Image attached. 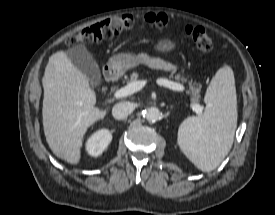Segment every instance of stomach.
I'll return each instance as SVG.
<instances>
[{
	"instance_id": "0dacf381",
	"label": "stomach",
	"mask_w": 275,
	"mask_h": 215,
	"mask_svg": "<svg viewBox=\"0 0 275 215\" xmlns=\"http://www.w3.org/2000/svg\"><path fill=\"white\" fill-rule=\"evenodd\" d=\"M177 47L176 42L170 39H162L156 46V50L162 53H168L175 50ZM143 60L137 59L130 54H117L110 58L107 63V72L116 76L124 74L127 70L138 66Z\"/></svg>"
}]
</instances>
